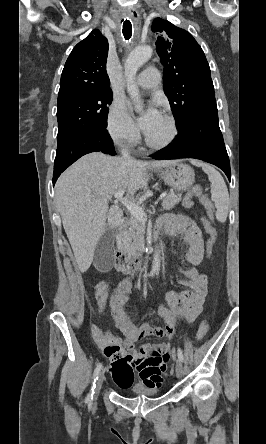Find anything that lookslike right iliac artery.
I'll return each mask as SVG.
<instances>
[{
    "label": "right iliac artery",
    "instance_id": "right-iliac-artery-1",
    "mask_svg": "<svg viewBox=\"0 0 266 444\" xmlns=\"http://www.w3.org/2000/svg\"><path fill=\"white\" fill-rule=\"evenodd\" d=\"M101 369H102V364L100 363V364L96 367V369H95V371H94L93 382H92V385H91V389H90L89 394H88V396H87V398H86V402H87L88 404H91V403H92L93 395H94V389H95V386H96L95 383H96V381L98 380V375H99Z\"/></svg>",
    "mask_w": 266,
    "mask_h": 444
}]
</instances>
